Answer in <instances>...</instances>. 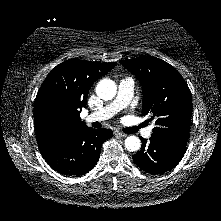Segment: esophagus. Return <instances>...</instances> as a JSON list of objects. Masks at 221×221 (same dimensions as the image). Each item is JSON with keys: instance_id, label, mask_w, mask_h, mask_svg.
<instances>
[{"instance_id": "obj_1", "label": "esophagus", "mask_w": 221, "mask_h": 221, "mask_svg": "<svg viewBox=\"0 0 221 221\" xmlns=\"http://www.w3.org/2000/svg\"><path fill=\"white\" fill-rule=\"evenodd\" d=\"M114 134L119 137H126L127 136V134L120 132V131H115Z\"/></svg>"}]
</instances>
